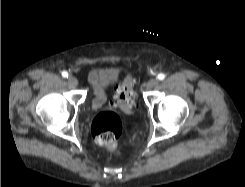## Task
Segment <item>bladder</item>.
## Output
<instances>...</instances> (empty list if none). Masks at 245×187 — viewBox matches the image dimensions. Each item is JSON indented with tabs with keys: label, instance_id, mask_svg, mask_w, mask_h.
Listing matches in <instances>:
<instances>
[{
	"label": "bladder",
	"instance_id": "bladder-1",
	"mask_svg": "<svg viewBox=\"0 0 245 187\" xmlns=\"http://www.w3.org/2000/svg\"><path fill=\"white\" fill-rule=\"evenodd\" d=\"M118 76L117 75H107L106 77V84L108 85H112L115 83V81L117 80Z\"/></svg>",
	"mask_w": 245,
	"mask_h": 187
}]
</instances>
